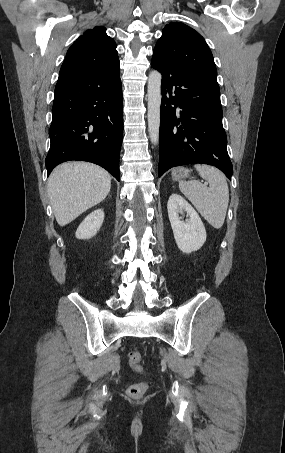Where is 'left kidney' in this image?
Masks as SVG:
<instances>
[{
	"mask_svg": "<svg viewBox=\"0 0 285 453\" xmlns=\"http://www.w3.org/2000/svg\"><path fill=\"white\" fill-rule=\"evenodd\" d=\"M167 210L178 248L186 254L199 250L206 241V230L195 209L182 196L172 194ZM183 212L189 216L185 222L179 217Z\"/></svg>",
	"mask_w": 285,
	"mask_h": 453,
	"instance_id": "5707ae66",
	"label": "left kidney"
}]
</instances>
